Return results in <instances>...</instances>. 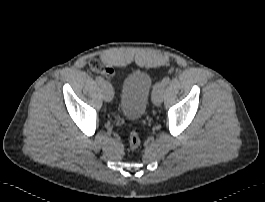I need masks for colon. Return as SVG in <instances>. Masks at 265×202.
Listing matches in <instances>:
<instances>
[{"label": "colon", "instance_id": "colon-1", "mask_svg": "<svg viewBox=\"0 0 265 202\" xmlns=\"http://www.w3.org/2000/svg\"><path fill=\"white\" fill-rule=\"evenodd\" d=\"M141 141L137 133L132 132L129 135V145L132 150H136L140 147Z\"/></svg>", "mask_w": 265, "mask_h": 202}]
</instances>
